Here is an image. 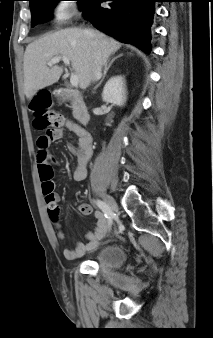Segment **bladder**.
Masks as SVG:
<instances>
[{
  "mask_svg": "<svg viewBox=\"0 0 213 338\" xmlns=\"http://www.w3.org/2000/svg\"><path fill=\"white\" fill-rule=\"evenodd\" d=\"M126 261L123 248L116 243L103 245L94 255L92 262L98 268L115 271Z\"/></svg>",
  "mask_w": 213,
  "mask_h": 338,
  "instance_id": "31cf9c89",
  "label": "bladder"
}]
</instances>
